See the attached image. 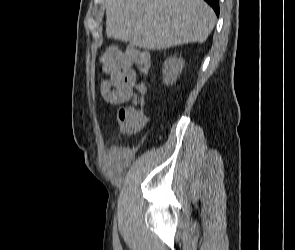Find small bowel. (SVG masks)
<instances>
[{
  "instance_id": "1",
  "label": "small bowel",
  "mask_w": 295,
  "mask_h": 250,
  "mask_svg": "<svg viewBox=\"0 0 295 250\" xmlns=\"http://www.w3.org/2000/svg\"><path fill=\"white\" fill-rule=\"evenodd\" d=\"M151 66L150 55L145 51H135L119 61L110 71L109 77L100 84L102 97L109 103L118 105L137 100L134 86L139 77H144ZM112 154H117L114 148Z\"/></svg>"
}]
</instances>
